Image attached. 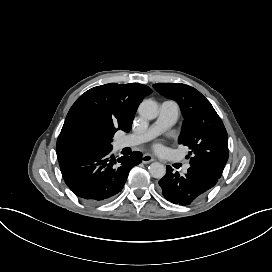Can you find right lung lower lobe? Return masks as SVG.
I'll return each mask as SVG.
<instances>
[{"label": "right lung lower lobe", "mask_w": 272, "mask_h": 272, "mask_svg": "<svg viewBox=\"0 0 272 272\" xmlns=\"http://www.w3.org/2000/svg\"><path fill=\"white\" fill-rule=\"evenodd\" d=\"M111 149L85 151L59 160L63 179L72 192L89 203H101L119 193L141 153L116 159Z\"/></svg>", "instance_id": "98d812e1"}]
</instances>
